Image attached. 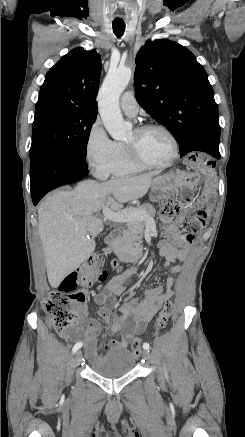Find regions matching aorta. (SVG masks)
<instances>
[{"instance_id": "1", "label": "aorta", "mask_w": 245, "mask_h": 437, "mask_svg": "<svg viewBox=\"0 0 245 437\" xmlns=\"http://www.w3.org/2000/svg\"><path fill=\"white\" fill-rule=\"evenodd\" d=\"M132 76L130 68L110 69L99 90L98 106L101 119L111 137L121 140L128 134L129 126L124 122L119 97Z\"/></svg>"}]
</instances>
